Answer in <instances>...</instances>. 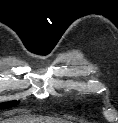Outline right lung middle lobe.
Returning <instances> with one entry per match:
<instances>
[{
	"label": "right lung middle lobe",
	"instance_id": "right-lung-middle-lobe-1",
	"mask_svg": "<svg viewBox=\"0 0 118 123\" xmlns=\"http://www.w3.org/2000/svg\"><path fill=\"white\" fill-rule=\"evenodd\" d=\"M19 102L18 101H10V102H5L0 105L1 108L9 107V106H14L17 105Z\"/></svg>",
	"mask_w": 118,
	"mask_h": 123
}]
</instances>
